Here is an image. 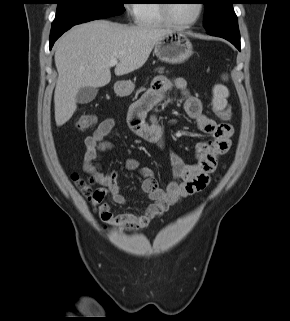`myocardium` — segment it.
Listing matches in <instances>:
<instances>
[{
  "label": "myocardium",
  "instance_id": "myocardium-1",
  "mask_svg": "<svg viewBox=\"0 0 290 321\" xmlns=\"http://www.w3.org/2000/svg\"><path fill=\"white\" fill-rule=\"evenodd\" d=\"M160 9L166 19L167 23L176 28H188L195 25L202 16L204 5L201 1H197V13L196 16L188 22H179L175 20L171 15V0H160Z\"/></svg>",
  "mask_w": 290,
  "mask_h": 321
}]
</instances>
